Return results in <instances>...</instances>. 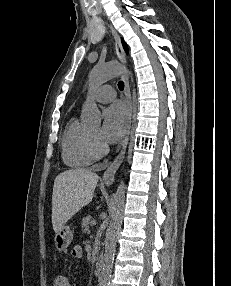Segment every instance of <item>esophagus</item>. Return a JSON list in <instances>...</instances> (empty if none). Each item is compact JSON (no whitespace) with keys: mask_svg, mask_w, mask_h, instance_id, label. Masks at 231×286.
Listing matches in <instances>:
<instances>
[{"mask_svg":"<svg viewBox=\"0 0 231 286\" xmlns=\"http://www.w3.org/2000/svg\"><path fill=\"white\" fill-rule=\"evenodd\" d=\"M109 27H110L111 33L113 35V38L115 40V47H116L117 56H118L119 60L124 65H126V57H125V53H124L119 35L111 26H109ZM123 79H124L125 102H126V105L128 108V114H129L128 127H127V131L125 133L124 140L122 142L120 152L118 153L116 158L112 161V163L109 165V167L107 168V170L103 174L102 180H103V183H105L106 185H111L115 180L116 171L120 167V165L124 159L125 153H126V149H127V145H128L129 137H130V133H131V128H132L133 105H132V99H131L129 80H128L127 75H124Z\"/></svg>","mask_w":231,"mask_h":286,"instance_id":"34e87169","label":"esophagus"}]
</instances>
